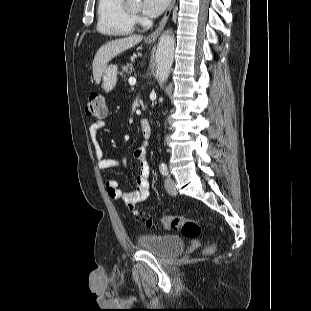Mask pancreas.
I'll return each mask as SVG.
<instances>
[{
  "instance_id": "1",
  "label": "pancreas",
  "mask_w": 311,
  "mask_h": 311,
  "mask_svg": "<svg viewBox=\"0 0 311 311\" xmlns=\"http://www.w3.org/2000/svg\"><path fill=\"white\" fill-rule=\"evenodd\" d=\"M133 70H134L133 64L128 63V64L122 66V70L120 72V75L125 77L126 74H128V75L131 74Z\"/></svg>"
}]
</instances>
